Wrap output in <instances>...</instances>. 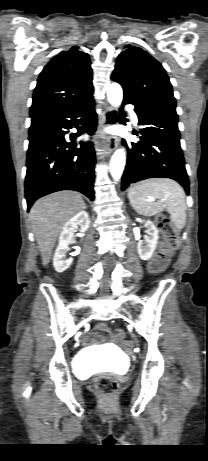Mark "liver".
Listing matches in <instances>:
<instances>
[{
	"instance_id": "1",
	"label": "liver",
	"mask_w": 208,
	"mask_h": 461,
	"mask_svg": "<svg viewBox=\"0 0 208 461\" xmlns=\"http://www.w3.org/2000/svg\"><path fill=\"white\" fill-rule=\"evenodd\" d=\"M84 209L81 195L69 191L45 196L32 206L30 219L44 266L50 262L57 236L64 224Z\"/></svg>"
}]
</instances>
